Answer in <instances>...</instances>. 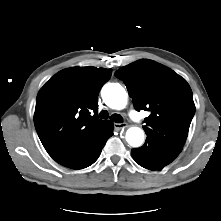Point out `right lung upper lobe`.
Returning a JSON list of instances; mask_svg holds the SVG:
<instances>
[{
    "label": "right lung upper lobe",
    "instance_id": "right-lung-upper-lobe-1",
    "mask_svg": "<svg viewBox=\"0 0 221 221\" xmlns=\"http://www.w3.org/2000/svg\"><path fill=\"white\" fill-rule=\"evenodd\" d=\"M112 69L74 67L55 74L39 91L34 124L48 152L60 161L104 127L98 94ZM94 112V114H91Z\"/></svg>",
    "mask_w": 221,
    "mask_h": 221
}]
</instances>
